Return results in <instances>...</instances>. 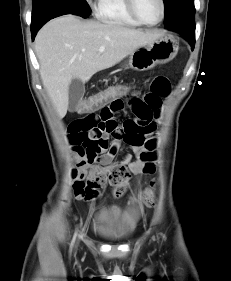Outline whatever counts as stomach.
I'll list each match as a JSON object with an SVG mask.
<instances>
[{
	"label": "stomach",
	"instance_id": "0dacf381",
	"mask_svg": "<svg viewBox=\"0 0 231 281\" xmlns=\"http://www.w3.org/2000/svg\"><path fill=\"white\" fill-rule=\"evenodd\" d=\"M178 52L175 39L170 35H162L152 43L136 49L129 55L128 66L136 71H145L157 64L171 61Z\"/></svg>",
	"mask_w": 231,
	"mask_h": 281
}]
</instances>
